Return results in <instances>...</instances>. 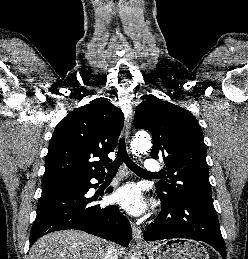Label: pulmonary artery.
Instances as JSON below:
<instances>
[{"label":"pulmonary artery","instance_id":"e3ab8cb5","mask_svg":"<svg viewBox=\"0 0 248 259\" xmlns=\"http://www.w3.org/2000/svg\"><path fill=\"white\" fill-rule=\"evenodd\" d=\"M161 166L159 162L155 159H147L144 164V170L149 173H157L160 171Z\"/></svg>","mask_w":248,"mask_h":259}]
</instances>
